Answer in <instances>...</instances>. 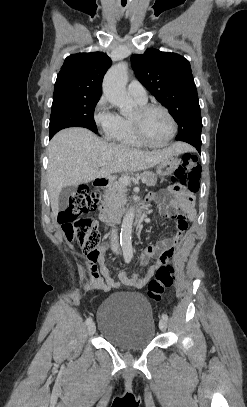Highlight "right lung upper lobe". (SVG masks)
Instances as JSON below:
<instances>
[{"label":"right lung upper lobe","instance_id":"right-lung-upper-lobe-1","mask_svg":"<svg viewBox=\"0 0 247 407\" xmlns=\"http://www.w3.org/2000/svg\"><path fill=\"white\" fill-rule=\"evenodd\" d=\"M102 52L78 53L67 57L58 74L53 98L61 96L99 97L102 79L111 66Z\"/></svg>","mask_w":247,"mask_h":407}]
</instances>
